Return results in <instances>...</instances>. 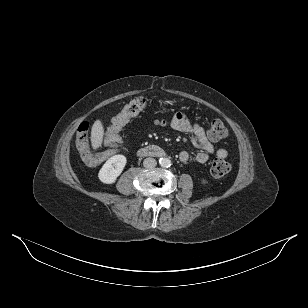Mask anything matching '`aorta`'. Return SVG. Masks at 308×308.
Wrapping results in <instances>:
<instances>
[{
    "mask_svg": "<svg viewBox=\"0 0 308 308\" xmlns=\"http://www.w3.org/2000/svg\"><path fill=\"white\" fill-rule=\"evenodd\" d=\"M159 163L164 168H168L171 166V160L168 158H160Z\"/></svg>",
    "mask_w": 308,
    "mask_h": 308,
    "instance_id": "aorta-1",
    "label": "aorta"
}]
</instances>
